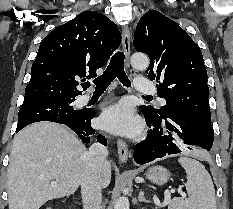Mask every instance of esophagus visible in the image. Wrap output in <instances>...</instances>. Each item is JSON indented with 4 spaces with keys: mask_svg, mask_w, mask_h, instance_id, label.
Here are the masks:
<instances>
[{
    "mask_svg": "<svg viewBox=\"0 0 233 209\" xmlns=\"http://www.w3.org/2000/svg\"><path fill=\"white\" fill-rule=\"evenodd\" d=\"M122 47L126 57V65L129 67L128 60L130 57V31L127 26H124L122 30ZM117 149L120 162L126 163L129 157L127 144L123 140H118Z\"/></svg>",
    "mask_w": 233,
    "mask_h": 209,
    "instance_id": "34e87169",
    "label": "esophagus"
}]
</instances>
